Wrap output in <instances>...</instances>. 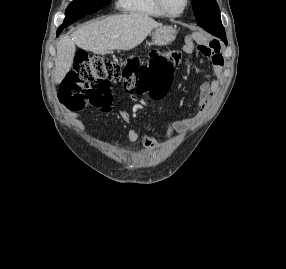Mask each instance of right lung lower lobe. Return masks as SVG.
<instances>
[{"label":"right lung lower lobe","instance_id":"1","mask_svg":"<svg viewBox=\"0 0 286 269\" xmlns=\"http://www.w3.org/2000/svg\"><path fill=\"white\" fill-rule=\"evenodd\" d=\"M60 32L57 31V36L59 35Z\"/></svg>","mask_w":286,"mask_h":269}]
</instances>
